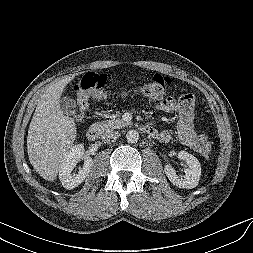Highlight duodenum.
Instances as JSON below:
<instances>
[{
	"label": "duodenum",
	"instance_id": "duodenum-1",
	"mask_svg": "<svg viewBox=\"0 0 253 253\" xmlns=\"http://www.w3.org/2000/svg\"><path fill=\"white\" fill-rule=\"evenodd\" d=\"M143 131L147 134H151L152 133V128L148 125H144L142 127ZM100 135V129L97 125L93 124L88 128L87 131V138L90 141H95L99 138Z\"/></svg>",
	"mask_w": 253,
	"mask_h": 253
}]
</instances>
